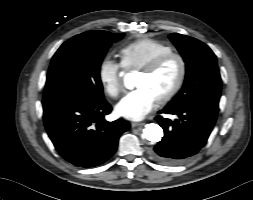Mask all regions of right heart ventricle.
<instances>
[{
  "instance_id": "right-heart-ventricle-1",
  "label": "right heart ventricle",
  "mask_w": 253,
  "mask_h": 200,
  "mask_svg": "<svg viewBox=\"0 0 253 200\" xmlns=\"http://www.w3.org/2000/svg\"><path fill=\"white\" fill-rule=\"evenodd\" d=\"M173 52L171 46L151 38L136 40L120 50L121 64L126 70H140L156 58Z\"/></svg>"
}]
</instances>
